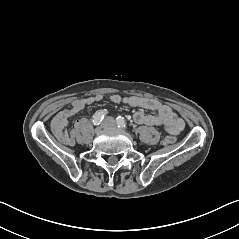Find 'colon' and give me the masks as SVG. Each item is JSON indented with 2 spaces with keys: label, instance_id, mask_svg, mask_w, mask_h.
<instances>
[{
  "label": "colon",
  "instance_id": "1",
  "mask_svg": "<svg viewBox=\"0 0 239 239\" xmlns=\"http://www.w3.org/2000/svg\"><path fill=\"white\" fill-rule=\"evenodd\" d=\"M175 141V137L173 135H168L162 140L163 145H170Z\"/></svg>",
  "mask_w": 239,
  "mask_h": 239
}]
</instances>
